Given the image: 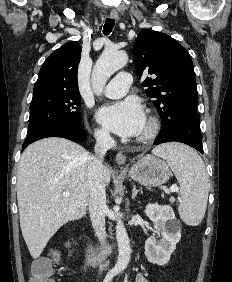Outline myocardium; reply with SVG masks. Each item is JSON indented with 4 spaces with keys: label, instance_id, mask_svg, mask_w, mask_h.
<instances>
[{
    "label": "myocardium",
    "instance_id": "f54148a6",
    "mask_svg": "<svg viewBox=\"0 0 232 282\" xmlns=\"http://www.w3.org/2000/svg\"><path fill=\"white\" fill-rule=\"evenodd\" d=\"M160 131V121L154 115H149L146 119L144 131L137 136V141L145 143L153 140Z\"/></svg>",
    "mask_w": 232,
    "mask_h": 282
}]
</instances>
